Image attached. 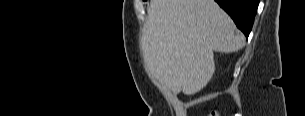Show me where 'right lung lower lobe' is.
Returning a JSON list of instances; mask_svg holds the SVG:
<instances>
[{
  "label": "right lung lower lobe",
  "instance_id": "obj_1",
  "mask_svg": "<svg viewBox=\"0 0 305 116\" xmlns=\"http://www.w3.org/2000/svg\"><path fill=\"white\" fill-rule=\"evenodd\" d=\"M233 19L248 38L252 29L259 0H215Z\"/></svg>",
  "mask_w": 305,
  "mask_h": 116
}]
</instances>
